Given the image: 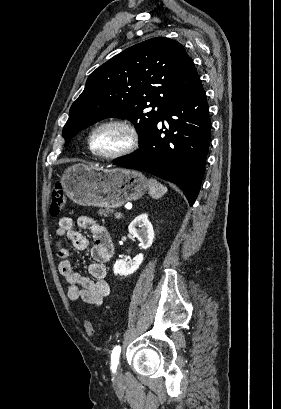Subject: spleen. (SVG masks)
I'll return each mask as SVG.
<instances>
[{"label": "spleen", "mask_w": 281, "mask_h": 409, "mask_svg": "<svg viewBox=\"0 0 281 409\" xmlns=\"http://www.w3.org/2000/svg\"><path fill=\"white\" fill-rule=\"evenodd\" d=\"M148 184L149 192L152 198H161V196H163V194H166L168 190V188H166V186H163L161 182H158L156 178H149Z\"/></svg>", "instance_id": "1"}]
</instances>
